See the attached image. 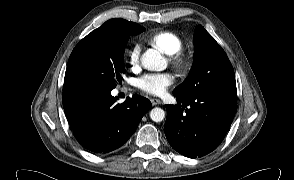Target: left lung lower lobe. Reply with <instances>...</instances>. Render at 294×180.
<instances>
[{"instance_id": "obj_1", "label": "left lung lower lobe", "mask_w": 294, "mask_h": 180, "mask_svg": "<svg viewBox=\"0 0 294 180\" xmlns=\"http://www.w3.org/2000/svg\"><path fill=\"white\" fill-rule=\"evenodd\" d=\"M178 104L165 105L164 133L180 154L202 157L218 147L237 110L236 96L224 93H174Z\"/></svg>"}]
</instances>
